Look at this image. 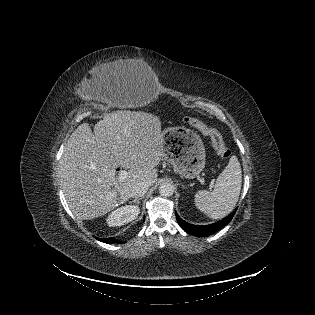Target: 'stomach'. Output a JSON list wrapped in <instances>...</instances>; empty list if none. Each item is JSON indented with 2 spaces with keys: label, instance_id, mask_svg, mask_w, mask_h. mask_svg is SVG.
Returning <instances> with one entry per match:
<instances>
[{
  "label": "stomach",
  "instance_id": "1",
  "mask_svg": "<svg viewBox=\"0 0 315 315\" xmlns=\"http://www.w3.org/2000/svg\"><path fill=\"white\" fill-rule=\"evenodd\" d=\"M163 157L181 177L193 179L205 167V147L199 135L186 127H169L162 133Z\"/></svg>",
  "mask_w": 315,
  "mask_h": 315
}]
</instances>
